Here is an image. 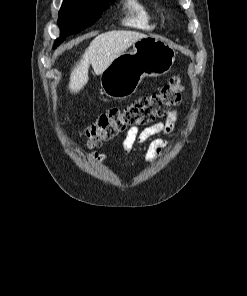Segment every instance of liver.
Masks as SVG:
<instances>
[{"mask_svg": "<svg viewBox=\"0 0 247 296\" xmlns=\"http://www.w3.org/2000/svg\"><path fill=\"white\" fill-rule=\"evenodd\" d=\"M147 35L135 31H109L96 36L76 63L70 75L69 89L77 93L88 82V68L101 75L109 65L136 41Z\"/></svg>", "mask_w": 247, "mask_h": 296, "instance_id": "obj_1", "label": "liver"}]
</instances>
